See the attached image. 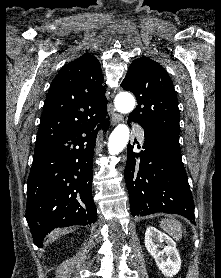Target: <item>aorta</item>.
<instances>
[{"label": "aorta", "mask_w": 221, "mask_h": 278, "mask_svg": "<svg viewBox=\"0 0 221 278\" xmlns=\"http://www.w3.org/2000/svg\"><path fill=\"white\" fill-rule=\"evenodd\" d=\"M135 107V99L129 93H121L115 98V108L121 113H129ZM130 131L127 125L119 124L110 134L108 152L110 155L119 154L127 145Z\"/></svg>", "instance_id": "762f6f07"}]
</instances>
